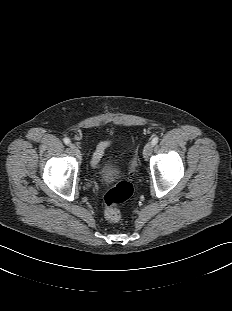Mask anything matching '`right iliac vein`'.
<instances>
[{"label": "right iliac vein", "mask_w": 232, "mask_h": 311, "mask_svg": "<svg viewBox=\"0 0 232 311\" xmlns=\"http://www.w3.org/2000/svg\"><path fill=\"white\" fill-rule=\"evenodd\" d=\"M70 148L72 149V151L79 156L80 155V151L78 149V147L75 144H70Z\"/></svg>", "instance_id": "63e3f726"}]
</instances>
